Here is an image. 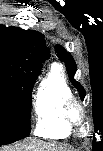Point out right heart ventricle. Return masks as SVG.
Wrapping results in <instances>:
<instances>
[{"label": "right heart ventricle", "instance_id": "obj_1", "mask_svg": "<svg viewBox=\"0 0 103 151\" xmlns=\"http://www.w3.org/2000/svg\"><path fill=\"white\" fill-rule=\"evenodd\" d=\"M72 96L71 89L58 64H53L39 86L34 101L36 128L34 133L43 138L61 139L70 135V126L62 115L65 100Z\"/></svg>", "mask_w": 103, "mask_h": 151}]
</instances>
